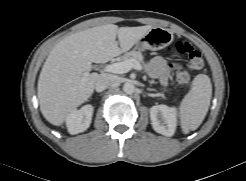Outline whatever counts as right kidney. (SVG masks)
<instances>
[{
    "instance_id": "obj_1",
    "label": "right kidney",
    "mask_w": 246,
    "mask_h": 181,
    "mask_svg": "<svg viewBox=\"0 0 246 181\" xmlns=\"http://www.w3.org/2000/svg\"><path fill=\"white\" fill-rule=\"evenodd\" d=\"M93 115V107L85 105L81 109H74L66 118V126L70 134H78L90 126Z\"/></svg>"
}]
</instances>
